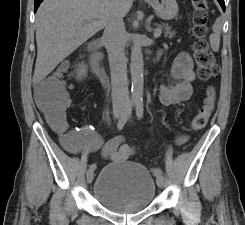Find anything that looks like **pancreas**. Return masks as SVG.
Returning a JSON list of instances; mask_svg holds the SVG:
<instances>
[{
	"label": "pancreas",
	"mask_w": 245,
	"mask_h": 225,
	"mask_svg": "<svg viewBox=\"0 0 245 225\" xmlns=\"http://www.w3.org/2000/svg\"><path fill=\"white\" fill-rule=\"evenodd\" d=\"M161 28H164V36L165 37H169V38H173L176 34L175 31L171 30V28L168 25H163V26H159Z\"/></svg>",
	"instance_id": "1"
}]
</instances>
